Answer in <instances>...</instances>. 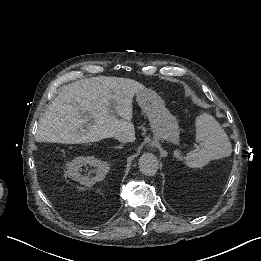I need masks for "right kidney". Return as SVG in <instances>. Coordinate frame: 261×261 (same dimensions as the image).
<instances>
[{"mask_svg": "<svg viewBox=\"0 0 261 261\" xmlns=\"http://www.w3.org/2000/svg\"><path fill=\"white\" fill-rule=\"evenodd\" d=\"M87 165L95 169V176L89 177L81 174L82 167ZM108 171V163L102 162L94 157H78L72 160L67 166V173L85 186H91L103 180Z\"/></svg>", "mask_w": 261, "mask_h": 261, "instance_id": "ca27d5eb", "label": "right kidney"}]
</instances>
